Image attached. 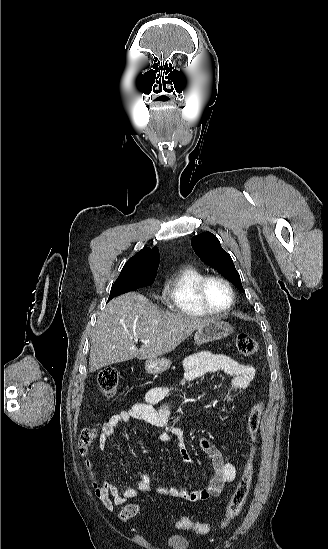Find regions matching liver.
I'll return each mask as SVG.
<instances>
[{
	"instance_id": "obj_1",
	"label": "liver",
	"mask_w": 328,
	"mask_h": 549,
	"mask_svg": "<svg viewBox=\"0 0 328 549\" xmlns=\"http://www.w3.org/2000/svg\"><path fill=\"white\" fill-rule=\"evenodd\" d=\"M210 319L185 313L160 311L140 293H126L112 299L98 313L92 333L89 371L94 373L113 363L130 359H156L174 351ZM135 337L143 345L137 349ZM149 341V343H144Z\"/></svg>"
}]
</instances>
